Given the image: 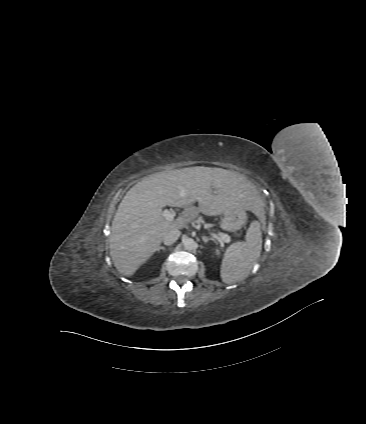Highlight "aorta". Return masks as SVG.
I'll return each instance as SVG.
<instances>
[{
    "mask_svg": "<svg viewBox=\"0 0 366 424\" xmlns=\"http://www.w3.org/2000/svg\"><path fill=\"white\" fill-rule=\"evenodd\" d=\"M184 248L188 251L195 250L197 248V243L192 238H185L183 240Z\"/></svg>",
    "mask_w": 366,
    "mask_h": 424,
    "instance_id": "obj_1",
    "label": "aorta"
}]
</instances>
